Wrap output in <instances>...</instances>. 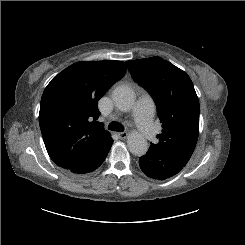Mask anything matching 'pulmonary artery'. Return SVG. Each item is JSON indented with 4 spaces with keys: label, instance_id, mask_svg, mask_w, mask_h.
Returning a JSON list of instances; mask_svg holds the SVG:
<instances>
[{
    "label": "pulmonary artery",
    "instance_id": "pulmonary-artery-1",
    "mask_svg": "<svg viewBox=\"0 0 245 245\" xmlns=\"http://www.w3.org/2000/svg\"><path fill=\"white\" fill-rule=\"evenodd\" d=\"M154 112V101L147 94H144L132 109V115L140 134L149 141L157 135L156 124L153 120Z\"/></svg>",
    "mask_w": 245,
    "mask_h": 245
}]
</instances>
